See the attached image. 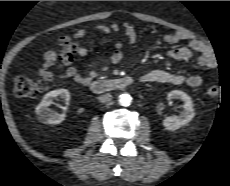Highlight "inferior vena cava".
<instances>
[{
	"mask_svg": "<svg viewBox=\"0 0 230 186\" xmlns=\"http://www.w3.org/2000/svg\"><path fill=\"white\" fill-rule=\"evenodd\" d=\"M111 99H112V95L110 93H106V94L98 97V100L101 103H107V102L111 101Z\"/></svg>",
	"mask_w": 230,
	"mask_h": 186,
	"instance_id": "1",
	"label": "inferior vena cava"
}]
</instances>
